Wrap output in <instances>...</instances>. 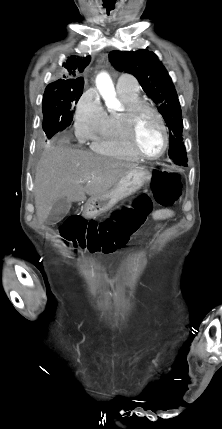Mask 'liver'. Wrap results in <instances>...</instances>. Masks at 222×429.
I'll use <instances>...</instances> for the list:
<instances>
[{
    "label": "liver",
    "mask_w": 222,
    "mask_h": 429,
    "mask_svg": "<svg viewBox=\"0 0 222 429\" xmlns=\"http://www.w3.org/2000/svg\"><path fill=\"white\" fill-rule=\"evenodd\" d=\"M138 165L66 146H51L42 155L35 175V208L42 224L54 202H73L108 192L121 177ZM89 180V182H82ZM86 183L85 186L83 184Z\"/></svg>",
    "instance_id": "liver-1"
}]
</instances>
